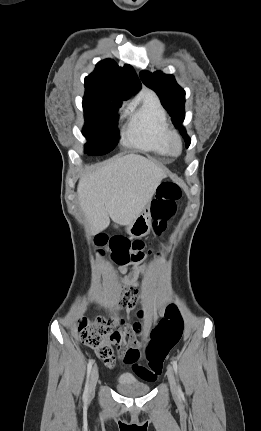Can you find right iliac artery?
<instances>
[{
  "label": "right iliac artery",
  "instance_id": "right-iliac-artery-1",
  "mask_svg": "<svg viewBox=\"0 0 261 431\" xmlns=\"http://www.w3.org/2000/svg\"><path fill=\"white\" fill-rule=\"evenodd\" d=\"M93 360H90L87 366V381H86V385H85V389H84V393H83V399L87 400L88 398V393H89V377H90V373H91V369H92V365H93Z\"/></svg>",
  "mask_w": 261,
  "mask_h": 431
}]
</instances>
